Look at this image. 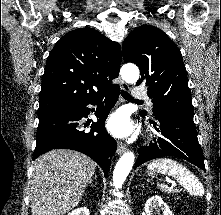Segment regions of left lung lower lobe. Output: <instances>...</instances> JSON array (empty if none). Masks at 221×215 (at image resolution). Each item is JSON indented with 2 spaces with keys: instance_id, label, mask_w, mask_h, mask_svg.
I'll return each instance as SVG.
<instances>
[{
  "instance_id": "0a47b994",
  "label": "left lung lower lobe",
  "mask_w": 221,
  "mask_h": 215,
  "mask_svg": "<svg viewBox=\"0 0 221 215\" xmlns=\"http://www.w3.org/2000/svg\"><path fill=\"white\" fill-rule=\"evenodd\" d=\"M150 122L154 126L159 124L161 136L155 137L149 146L140 148L135 167L155 158L176 156L205 170L193 115L162 112L156 116V122L153 120Z\"/></svg>"
}]
</instances>
